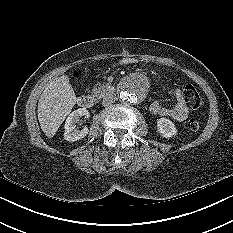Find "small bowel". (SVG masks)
<instances>
[{
    "label": "small bowel",
    "mask_w": 233,
    "mask_h": 233,
    "mask_svg": "<svg viewBox=\"0 0 233 233\" xmlns=\"http://www.w3.org/2000/svg\"><path fill=\"white\" fill-rule=\"evenodd\" d=\"M176 104L172 107L164 106L159 101H154L150 106L152 114L160 117H168L175 121L182 122L187 119L189 109L180 89L175 90Z\"/></svg>",
    "instance_id": "c3829d8e"
}]
</instances>
